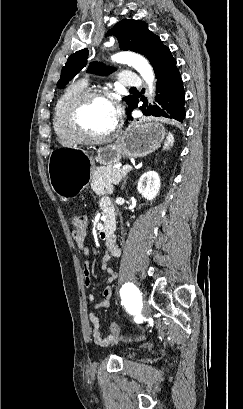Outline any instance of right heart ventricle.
Segmentation results:
<instances>
[{
	"mask_svg": "<svg viewBox=\"0 0 243 409\" xmlns=\"http://www.w3.org/2000/svg\"><path fill=\"white\" fill-rule=\"evenodd\" d=\"M86 89L84 81H75L68 85L57 98L54 108L52 125L60 144L65 146L75 145L79 140L69 131L65 123V110L69 100L78 92Z\"/></svg>",
	"mask_w": 243,
	"mask_h": 409,
	"instance_id": "1",
	"label": "right heart ventricle"
}]
</instances>
